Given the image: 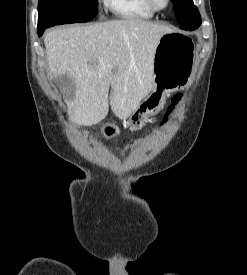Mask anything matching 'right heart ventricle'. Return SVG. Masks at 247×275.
Here are the masks:
<instances>
[{
  "instance_id": "obj_1",
  "label": "right heart ventricle",
  "mask_w": 247,
  "mask_h": 275,
  "mask_svg": "<svg viewBox=\"0 0 247 275\" xmlns=\"http://www.w3.org/2000/svg\"><path fill=\"white\" fill-rule=\"evenodd\" d=\"M107 8L117 17L127 20L149 19L154 17L146 0H104Z\"/></svg>"
}]
</instances>
